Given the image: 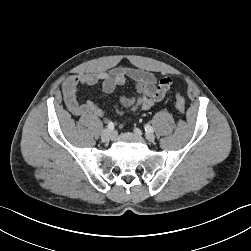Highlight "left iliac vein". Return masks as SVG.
<instances>
[{
  "label": "left iliac vein",
  "instance_id": "obj_1",
  "mask_svg": "<svg viewBox=\"0 0 251 251\" xmlns=\"http://www.w3.org/2000/svg\"><path fill=\"white\" fill-rule=\"evenodd\" d=\"M135 132H136V134H138V135L140 134V131H139L138 129H135ZM145 138H146L147 141H149V142H154V140H155L154 134L149 133V132L145 133Z\"/></svg>",
  "mask_w": 251,
  "mask_h": 251
}]
</instances>
